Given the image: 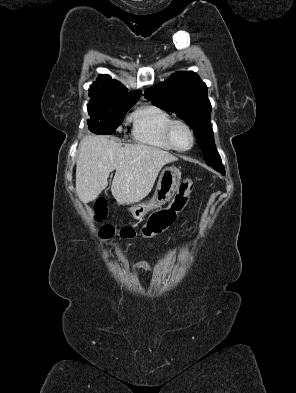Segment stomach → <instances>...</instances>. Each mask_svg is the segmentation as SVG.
Here are the masks:
<instances>
[{
  "instance_id": "1",
  "label": "stomach",
  "mask_w": 296,
  "mask_h": 393,
  "mask_svg": "<svg viewBox=\"0 0 296 393\" xmlns=\"http://www.w3.org/2000/svg\"><path fill=\"white\" fill-rule=\"evenodd\" d=\"M181 172L175 167H166L162 170L153 197L146 202L139 203L130 208L136 220H143L148 212L157 210L165 205L178 191Z\"/></svg>"
}]
</instances>
